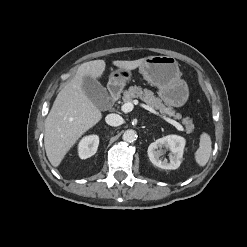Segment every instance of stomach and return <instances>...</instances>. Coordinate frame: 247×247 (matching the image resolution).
Here are the masks:
<instances>
[{
  "label": "stomach",
  "mask_w": 247,
  "mask_h": 247,
  "mask_svg": "<svg viewBox=\"0 0 247 247\" xmlns=\"http://www.w3.org/2000/svg\"><path fill=\"white\" fill-rule=\"evenodd\" d=\"M144 79L158 88L159 97L169 106L181 107L189 97L186 81L181 79L178 62L171 56H149L139 67ZM131 78V71L118 69L110 75L109 85L118 89Z\"/></svg>",
  "instance_id": "1"
}]
</instances>
